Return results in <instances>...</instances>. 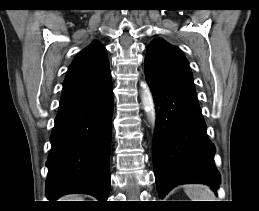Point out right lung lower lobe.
<instances>
[{"mask_svg": "<svg viewBox=\"0 0 259 211\" xmlns=\"http://www.w3.org/2000/svg\"><path fill=\"white\" fill-rule=\"evenodd\" d=\"M112 114V85L91 98L59 107L46 163L49 201L68 193L107 200Z\"/></svg>", "mask_w": 259, "mask_h": 211, "instance_id": "98d812e1", "label": "right lung lower lobe"}]
</instances>
